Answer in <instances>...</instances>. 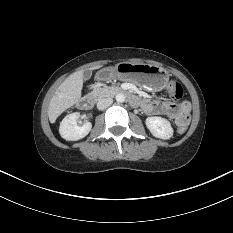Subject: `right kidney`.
Segmentation results:
<instances>
[{
  "label": "right kidney",
  "mask_w": 233,
  "mask_h": 233,
  "mask_svg": "<svg viewBox=\"0 0 233 233\" xmlns=\"http://www.w3.org/2000/svg\"><path fill=\"white\" fill-rule=\"evenodd\" d=\"M79 116L80 114L75 112L64 117L59 127V133L63 139L77 141L84 138L91 131L92 124L90 122H86L82 126L77 125L76 120Z\"/></svg>",
  "instance_id": "obj_1"
}]
</instances>
